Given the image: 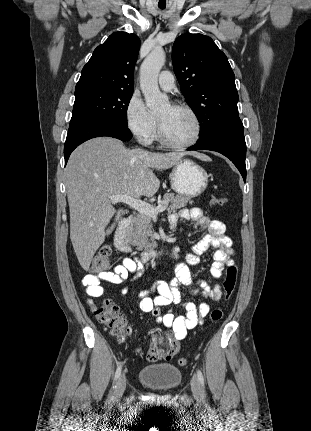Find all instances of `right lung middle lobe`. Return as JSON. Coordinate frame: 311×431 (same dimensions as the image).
Segmentation results:
<instances>
[{
  "mask_svg": "<svg viewBox=\"0 0 311 431\" xmlns=\"http://www.w3.org/2000/svg\"><path fill=\"white\" fill-rule=\"evenodd\" d=\"M133 91L88 88L75 91L70 125L87 119L127 124V108Z\"/></svg>",
  "mask_w": 311,
  "mask_h": 431,
  "instance_id": "right-lung-middle-lobe-1",
  "label": "right lung middle lobe"
}]
</instances>
